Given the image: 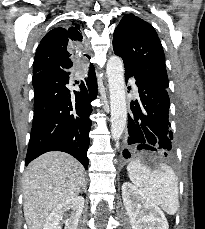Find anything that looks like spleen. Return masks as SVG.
<instances>
[{"instance_id": "3e777b00", "label": "spleen", "mask_w": 205, "mask_h": 229, "mask_svg": "<svg viewBox=\"0 0 205 229\" xmlns=\"http://www.w3.org/2000/svg\"><path fill=\"white\" fill-rule=\"evenodd\" d=\"M130 180L166 213L173 215L179 207L178 178L172 168L150 170L139 160L127 165Z\"/></svg>"}]
</instances>
